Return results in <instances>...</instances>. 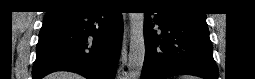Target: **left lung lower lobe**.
Here are the masks:
<instances>
[{"label":"left lung lower lobe","mask_w":255,"mask_h":79,"mask_svg":"<svg viewBox=\"0 0 255 79\" xmlns=\"http://www.w3.org/2000/svg\"><path fill=\"white\" fill-rule=\"evenodd\" d=\"M145 13V59L141 79H166L175 75H195L217 79L218 69L206 17L161 7ZM159 26L161 33L153 28Z\"/></svg>","instance_id":"left-lung-lower-lobe-1"}]
</instances>
